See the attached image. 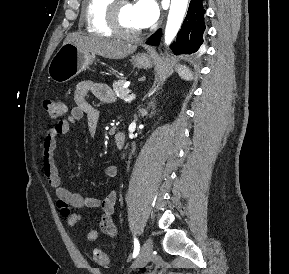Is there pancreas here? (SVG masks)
Returning <instances> with one entry per match:
<instances>
[{
  "label": "pancreas",
  "mask_w": 289,
  "mask_h": 274,
  "mask_svg": "<svg viewBox=\"0 0 289 274\" xmlns=\"http://www.w3.org/2000/svg\"><path fill=\"white\" fill-rule=\"evenodd\" d=\"M125 84V80H118L116 82L113 83V92L114 95L118 98L123 99L124 97H126L129 93L130 90L128 88H124Z\"/></svg>",
  "instance_id": "obj_1"
}]
</instances>
